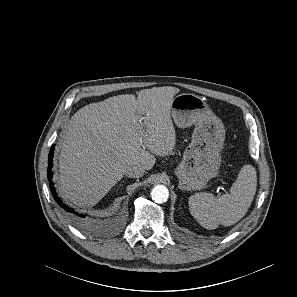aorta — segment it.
Returning a JSON list of instances; mask_svg holds the SVG:
<instances>
[{"instance_id":"obj_1","label":"aorta","mask_w":297,"mask_h":297,"mask_svg":"<svg viewBox=\"0 0 297 297\" xmlns=\"http://www.w3.org/2000/svg\"><path fill=\"white\" fill-rule=\"evenodd\" d=\"M151 197L154 202L161 204L168 200L169 191L166 186L157 185L152 189Z\"/></svg>"}]
</instances>
